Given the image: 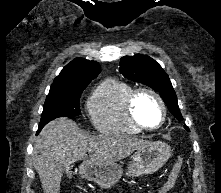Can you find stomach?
Instances as JSON below:
<instances>
[{
    "label": "stomach",
    "instance_id": "obj_1",
    "mask_svg": "<svg viewBox=\"0 0 221 193\" xmlns=\"http://www.w3.org/2000/svg\"><path fill=\"white\" fill-rule=\"evenodd\" d=\"M172 150L164 142H149L133 154L126 175L136 177L152 174L159 170L170 158ZM122 168L114 163L109 165H95L84 161L80 165V174L84 178L95 182L101 188L114 186L122 176Z\"/></svg>",
    "mask_w": 221,
    "mask_h": 193
}]
</instances>
